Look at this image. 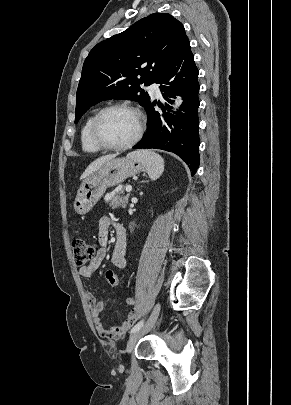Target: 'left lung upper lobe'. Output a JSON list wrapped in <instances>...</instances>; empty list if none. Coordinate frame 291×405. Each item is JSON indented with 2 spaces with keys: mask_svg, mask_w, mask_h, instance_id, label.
<instances>
[{
  "mask_svg": "<svg viewBox=\"0 0 291 405\" xmlns=\"http://www.w3.org/2000/svg\"><path fill=\"white\" fill-rule=\"evenodd\" d=\"M186 37L172 15L153 13L97 44L83 64L75 123L103 100L130 99L146 108L151 98L140 85L155 82Z\"/></svg>",
  "mask_w": 291,
  "mask_h": 405,
  "instance_id": "obj_1",
  "label": "left lung upper lobe"
}]
</instances>
